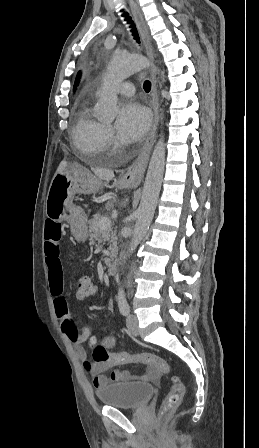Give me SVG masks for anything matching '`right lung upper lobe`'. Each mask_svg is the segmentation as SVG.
<instances>
[{
	"label": "right lung upper lobe",
	"mask_w": 259,
	"mask_h": 448,
	"mask_svg": "<svg viewBox=\"0 0 259 448\" xmlns=\"http://www.w3.org/2000/svg\"><path fill=\"white\" fill-rule=\"evenodd\" d=\"M78 82H79V75L76 78L75 85H78ZM74 89H75V86H74Z\"/></svg>",
	"instance_id": "cb5924a9"
}]
</instances>
